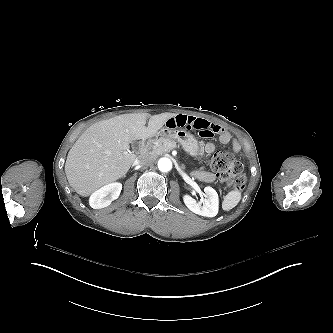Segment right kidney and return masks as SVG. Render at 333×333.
I'll return each mask as SVG.
<instances>
[{"mask_svg": "<svg viewBox=\"0 0 333 333\" xmlns=\"http://www.w3.org/2000/svg\"><path fill=\"white\" fill-rule=\"evenodd\" d=\"M121 189L122 185L120 183H112L101 188L91 196V207L94 209L108 207L114 200L119 197Z\"/></svg>", "mask_w": 333, "mask_h": 333, "instance_id": "obj_1", "label": "right kidney"}]
</instances>
